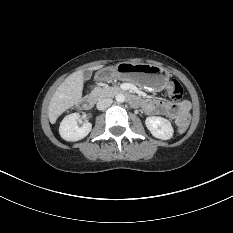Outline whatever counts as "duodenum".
I'll list each match as a JSON object with an SVG mask.
<instances>
[{
	"mask_svg": "<svg viewBox=\"0 0 233 233\" xmlns=\"http://www.w3.org/2000/svg\"><path fill=\"white\" fill-rule=\"evenodd\" d=\"M115 92L117 94H124L127 96L129 102L133 105H138L140 100L137 96L129 93L127 90L122 89V88H116ZM95 103V97L93 95H85L83 96L80 101H79V107L84 109V110H88L90 108L93 107Z\"/></svg>",
	"mask_w": 233,
	"mask_h": 233,
	"instance_id": "410a0bca",
	"label": "duodenum"
}]
</instances>
